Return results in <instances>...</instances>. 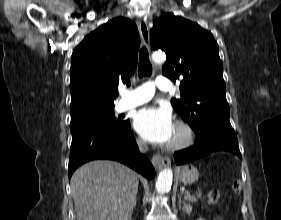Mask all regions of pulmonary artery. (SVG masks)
<instances>
[{
  "label": "pulmonary artery",
  "instance_id": "pulmonary-artery-1",
  "mask_svg": "<svg viewBox=\"0 0 281 220\" xmlns=\"http://www.w3.org/2000/svg\"><path fill=\"white\" fill-rule=\"evenodd\" d=\"M155 88L168 91L171 89V82L165 76H158L154 82H146L134 89L123 91L121 109H130L148 102L154 96Z\"/></svg>",
  "mask_w": 281,
  "mask_h": 220
}]
</instances>
